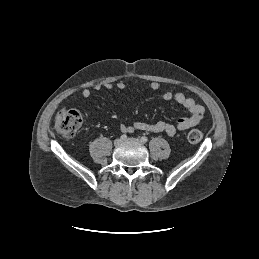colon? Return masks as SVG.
<instances>
[{
	"mask_svg": "<svg viewBox=\"0 0 259 259\" xmlns=\"http://www.w3.org/2000/svg\"><path fill=\"white\" fill-rule=\"evenodd\" d=\"M82 115L77 110L60 111L54 120V129L64 138H72L76 135L82 125ZM203 138V134L198 129H192L187 135L190 143H199Z\"/></svg>",
	"mask_w": 259,
	"mask_h": 259,
	"instance_id": "colon-1",
	"label": "colon"
}]
</instances>
